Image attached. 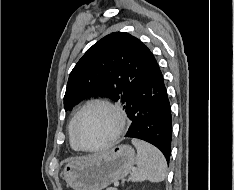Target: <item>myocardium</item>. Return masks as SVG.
<instances>
[{"label": "myocardium", "instance_id": "f54148a6", "mask_svg": "<svg viewBox=\"0 0 234 190\" xmlns=\"http://www.w3.org/2000/svg\"><path fill=\"white\" fill-rule=\"evenodd\" d=\"M94 106H101V107L108 109L114 115L117 125H116V129L113 132V134L106 141H104V142H102L94 147H86V146H83L79 143V141L77 140L76 132H77V127H78L79 121H80L81 117L83 116V114L88 109H90L91 107H94ZM125 126H126L125 115H124L122 109L117 104H114L113 102H111L107 99H92V100L88 101L86 104H84L83 107L76 114L73 125H72L71 138L79 150L87 151V152H95V151H98V150H101V149L108 147L114 141H116L120 137V135L123 133Z\"/></svg>", "mask_w": 234, "mask_h": 190}]
</instances>
